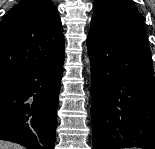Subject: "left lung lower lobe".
Instances as JSON below:
<instances>
[{
  "label": "left lung lower lobe",
  "instance_id": "obj_1",
  "mask_svg": "<svg viewBox=\"0 0 155 149\" xmlns=\"http://www.w3.org/2000/svg\"><path fill=\"white\" fill-rule=\"evenodd\" d=\"M93 149H155V80L145 26L90 30Z\"/></svg>",
  "mask_w": 155,
  "mask_h": 149
}]
</instances>
